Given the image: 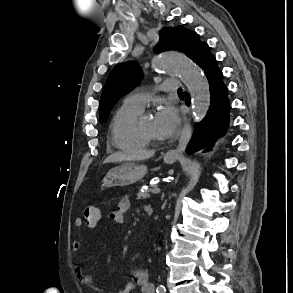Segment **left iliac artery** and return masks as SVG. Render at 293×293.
<instances>
[{
  "mask_svg": "<svg viewBox=\"0 0 293 293\" xmlns=\"http://www.w3.org/2000/svg\"><path fill=\"white\" fill-rule=\"evenodd\" d=\"M157 293H166V288L163 285H159L156 290Z\"/></svg>",
  "mask_w": 293,
  "mask_h": 293,
  "instance_id": "obj_1",
  "label": "left iliac artery"
}]
</instances>
